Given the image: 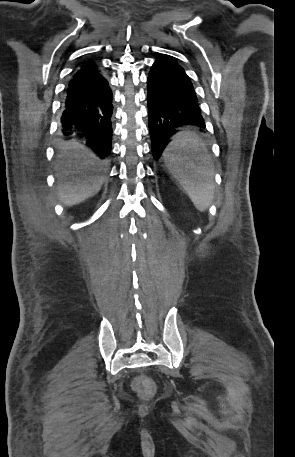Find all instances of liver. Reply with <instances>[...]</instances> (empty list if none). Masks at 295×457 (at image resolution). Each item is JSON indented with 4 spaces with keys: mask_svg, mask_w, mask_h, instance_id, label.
Returning a JSON list of instances; mask_svg holds the SVG:
<instances>
[{
    "mask_svg": "<svg viewBox=\"0 0 295 457\" xmlns=\"http://www.w3.org/2000/svg\"><path fill=\"white\" fill-rule=\"evenodd\" d=\"M57 164L58 196L64 205L78 204L101 189L103 179L89 175L93 166L99 164L97 158L83 146L76 144L71 156L64 152Z\"/></svg>",
    "mask_w": 295,
    "mask_h": 457,
    "instance_id": "1",
    "label": "liver"
}]
</instances>
